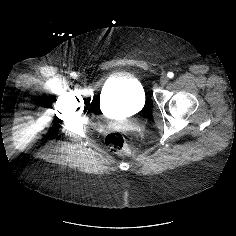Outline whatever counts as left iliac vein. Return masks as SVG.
<instances>
[{
	"label": "left iliac vein",
	"mask_w": 236,
	"mask_h": 236,
	"mask_svg": "<svg viewBox=\"0 0 236 236\" xmlns=\"http://www.w3.org/2000/svg\"><path fill=\"white\" fill-rule=\"evenodd\" d=\"M168 82V77L166 75H162L160 78V84L165 85Z\"/></svg>",
	"instance_id": "1"
}]
</instances>
